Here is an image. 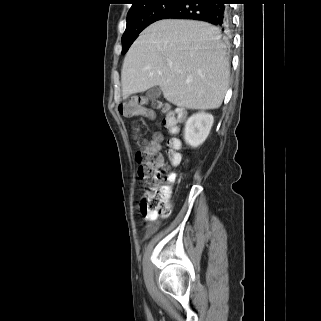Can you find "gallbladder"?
Here are the masks:
<instances>
[{"label":"gallbladder","instance_id":"gallbladder-1","mask_svg":"<svg viewBox=\"0 0 321 321\" xmlns=\"http://www.w3.org/2000/svg\"><path fill=\"white\" fill-rule=\"evenodd\" d=\"M161 95V89L159 86L150 88L146 93V99L150 101H156Z\"/></svg>","mask_w":321,"mask_h":321}]
</instances>
